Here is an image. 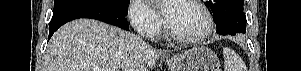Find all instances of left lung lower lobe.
I'll return each mask as SVG.
<instances>
[{
  "instance_id": "left-lung-lower-lobe-1",
  "label": "left lung lower lobe",
  "mask_w": 301,
  "mask_h": 71,
  "mask_svg": "<svg viewBox=\"0 0 301 71\" xmlns=\"http://www.w3.org/2000/svg\"><path fill=\"white\" fill-rule=\"evenodd\" d=\"M215 23L219 35H235L246 31V16L243 10H227L215 19Z\"/></svg>"
}]
</instances>
